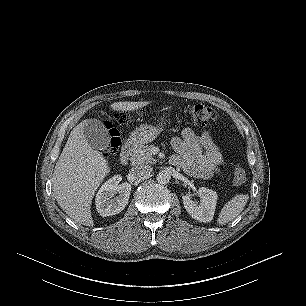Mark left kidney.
Instances as JSON below:
<instances>
[{
  "label": "left kidney",
  "mask_w": 306,
  "mask_h": 306,
  "mask_svg": "<svg viewBox=\"0 0 306 306\" xmlns=\"http://www.w3.org/2000/svg\"><path fill=\"white\" fill-rule=\"evenodd\" d=\"M201 203L198 205L189 195H183L184 208L188 214L200 222H210L213 219L216 209L218 195L215 191L201 187L199 188Z\"/></svg>",
  "instance_id": "5707ae66"
}]
</instances>
